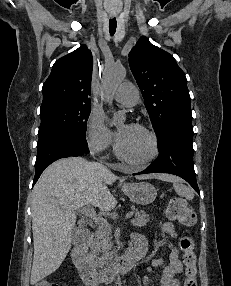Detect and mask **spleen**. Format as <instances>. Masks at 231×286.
Here are the masks:
<instances>
[{"instance_id": "1", "label": "spleen", "mask_w": 231, "mask_h": 286, "mask_svg": "<svg viewBox=\"0 0 231 286\" xmlns=\"http://www.w3.org/2000/svg\"><path fill=\"white\" fill-rule=\"evenodd\" d=\"M172 182L174 190L179 196L185 197L188 200H192L194 198L192 189L180 183L178 179L173 180Z\"/></svg>"}]
</instances>
